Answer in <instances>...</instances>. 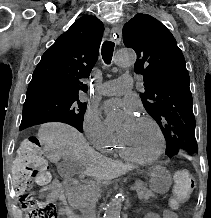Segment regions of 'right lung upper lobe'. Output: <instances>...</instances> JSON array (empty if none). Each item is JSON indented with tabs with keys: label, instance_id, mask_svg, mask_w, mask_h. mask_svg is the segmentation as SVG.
I'll return each mask as SVG.
<instances>
[{
	"label": "right lung upper lobe",
	"instance_id": "obj_1",
	"mask_svg": "<svg viewBox=\"0 0 211 218\" xmlns=\"http://www.w3.org/2000/svg\"><path fill=\"white\" fill-rule=\"evenodd\" d=\"M104 26L84 15L60 35L43 54L29 83L25 102L48 97L77 96L86 92L81 81L89 77L98 58Z\"/></svg>",
	"mask_w": 211,
	"mask_h": 218
}]
</instances>
